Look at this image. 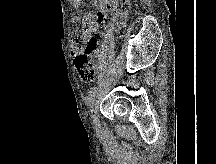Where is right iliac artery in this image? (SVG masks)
<instances>
[{
  "mask_svg": "<svg viewBox=\"0 0 216 164\" xmlns=\"http://www.w3.org/2000/svg\"><path fill=\"white\" fill-rule=\"evenodd\" d=\"M96 92H97V87H93L91 89V91H90V96H89V104H90V106H91V104H93ZM91 112H93V109L91 110Z\"/></svg>",
  "mask_w": 216,
  "mask_h": 164,
  "instance_id": "82829eb1",
  "label": "right iliac artery"
}]
</instances>
